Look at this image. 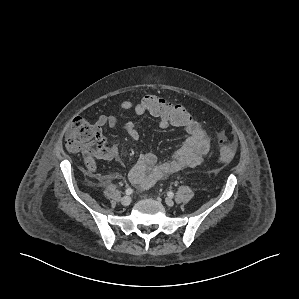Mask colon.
<instances>
[{"mask_svg": "<svg viewBox=\"0 0 299 299\" xmlns=\"http://www.w3.org/2000/svg\"><path fill=\"white\" fill-rule=\"evenodd\" d=\"M140 101L146 113L159 120L166 121L171 126L185 127L194 120L187 108L180 104L169 102L156 94H146ZM65 145L71 152L84 153L86 155V166L92 168L95 156L103 150L104 138L97 126L83 118L77 117L69 127ZM235 153V146L228 139L220 138L217 141V156L220 162H231L235 157Z\"/></svg>", "mask_w": 299, "mask_h": 299, "instance_id": "colon-1", "label": "colon"}]
</instances>
